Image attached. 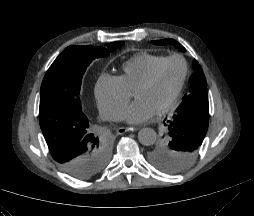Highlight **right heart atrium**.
<instances>
[{"label": "right heart atrium", "mask_w": 254, "mask_h": 216, "mask_svg": "<svg viewBox=\"0 0 254 216\" xmlns=\"http://www.w3.org/2000/svg\"><path fill=\"white\" fill-rule=\"evenodd\" d=\"M94 93L101 115L108 120L119 119L131 97L118 76L108 74L99 77Z\"/></svg>", "instance_id": "right-heart-atrium-1"}]
</instances>
